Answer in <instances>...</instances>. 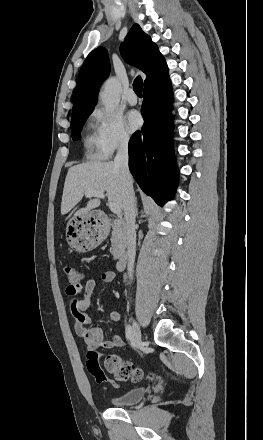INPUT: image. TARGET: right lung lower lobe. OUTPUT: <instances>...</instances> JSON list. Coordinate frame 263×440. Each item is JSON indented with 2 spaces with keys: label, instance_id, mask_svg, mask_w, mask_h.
<instances>
[{
  "label": "right lung lower lobe",
  "instance_id": "obj_1",
  "mask_svg": "<svg viewBox=\"0 0 263 440\" xmlns=\"http://www.w3.org/2000/svg\"><path fill=\"white\" fill-rule=\"evenodd\" d=\"M171 90L168 74L144 88V125L129 143L130 172L160 206L172 198L178 179L172 152Z\"/></svg>",
  "mask_w": 263,
  "mask_h": 440
}]
</instances>
